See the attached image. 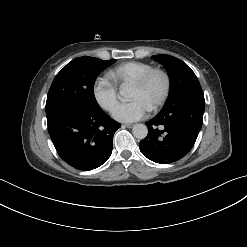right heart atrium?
Returning a JSON list of instances; mask_svg holds the SVG:
<instances>
[{"label":"right heart atrium","mask_w":247,"mask_h":247,"mask_svg":"<svg viewBox=\"0 0 247 247\" xmlns=\"http://www.w3.org/2000/svg\"><path fill=\"white\" fill-rule=\"evenodd\" d=\"M93 96L106 111H112L118 100L117 84L108 75L99 76L93 84Z\"/></svg>","instance_id":"1"}]
</instances>
